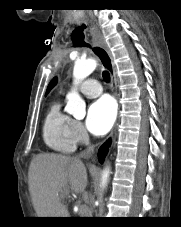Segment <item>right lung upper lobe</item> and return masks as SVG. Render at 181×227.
<instances>
[{
	"label": "right lung upper lobe",
	"mask_w": 181,
	"mask_h": 227,
	"mask_svg": "<svg viewBox=\"0 0 181 227\" xmlns=\"http://www.w3.org/2000/svg\"><path fill=\"white\" fill-rule=\"evenodd\" d=\"M56 82H57V80H56V78H54V79L49 83L46 94H47V93L56 85Z\"/></svg>",
	"instance_id": "obj_1"
}]
</instances>
